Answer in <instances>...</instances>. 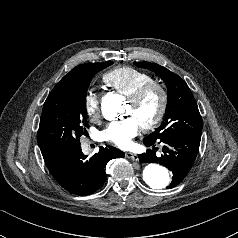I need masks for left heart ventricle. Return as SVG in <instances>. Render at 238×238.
Wrapping results in <instances>:
<instances>
[{
  "label": "left heart ventricle",
  "instance_id": "b2bd125f",
  "mask_svg": "<svg viewBox=\"0 0 238 238\" xmlns=\"http://www.w3.org/2000/svg\"><path fill=\"white\" fill-rule=\"evenodd\" d=\"M158 105L159 95L157 92L153 91L149 93L143 102L137 107H133L128 103L124 115L126 117H133L139 125H141L150 120L156 114Z\"/></svg>",
  "mask_w": 238,
  "mask_h": 238
}]
</instances>
